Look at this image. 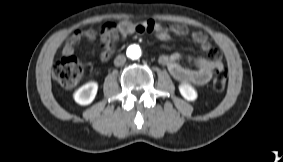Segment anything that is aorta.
<instances>
[{
    "instance_id": "1",
    "label": "aorta",
    "mask_w": 283,
    "mask_h": 162,
    "mask_svg": "<svg viewBox=\"0 0 283 162\" xmlns=\"http://www.w3.org/2000/svg\"><path fill=\"white\" fill-rule=\"evenodd\" d=\"M127 56L133 60L141 56V50L138 46L132 45L127 49Z\"/></svg>"
}]
</instances>
